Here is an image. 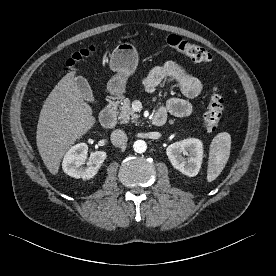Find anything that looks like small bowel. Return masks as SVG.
<instances>
[{
  "mask_svg": "<svg viewBox=\"0 0 276 276\" xmlns=\"http://www.w3.org/2000/svg\"><path fill=\"white\" fill-rule=\"evenodd\" d=\"M165 82L177 83L181 92L189 98H194L201 92L200 81L188 74L174 61H167L153 67L143 78L142 86L147 93L154 94L159 86ZM158 111L164 112L165 115L170 113L176 117H185L193 112V106L186 99L173 97L168 99L166 104L161 106Z\"/></svg>",
  "mask_w": 276,
  "mask_h": 276,
  "instance_id": "obj_1",
  "label": "small bowel"
}]
</instances>
